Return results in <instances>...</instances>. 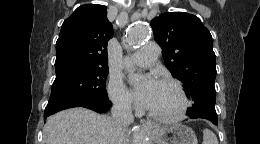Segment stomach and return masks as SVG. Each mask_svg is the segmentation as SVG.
<instances>
[{"label": "stomach", "instance_id": "0dacf381", "mask_svg": "<svg viewBox=\"0 0 260 144\" xmlns=\"http://www.w3.org/2000/svg\"><path fill=\"white\" fill-rule=\"evenodd\" d=\"M150 135L155 144H198L194 131L182 124L171 127H157Z\"/></svg>", "mask_w": 260, "mask_h": 144}]
</instances>
